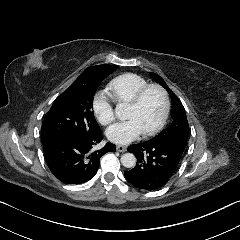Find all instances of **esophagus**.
<instances>
[{
    "label": "esophagus",
    "mask_w": 240,
    "mask_h": 240,
    "mask_svg": "<svg viewBox=\"0 0 240 240\" xmlns=\"http://www.w3.org/2000/svg\"><path fill=\"white\" fill-rule=\"evenodd\" d=\"M116 150H117L118 152H120V153H124V152L127 151V146H125V145H117V146H116Z\"/></svg>",
    "instance_id": "obj_1"
}]
</instances>
